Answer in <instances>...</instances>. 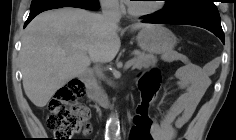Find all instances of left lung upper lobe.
<instances>
[{
	"label": "left lung upper lobe",
	"instance_id": "obj_1",
	"mask_svg": "<svg viewBox=\"0 0 236 140\" xmlns=\"http://www.w3.org/2000/svg\"><path fill=\"white\" fill-rule=\"evenodd\" d=\"M161 13L168 18L189 17L220 21V15L214 0H167Z\"/></svg>",
	"mask_w": 236,
	"mask_h": 140
}]
</instances>
